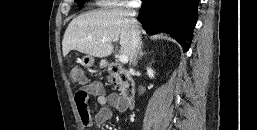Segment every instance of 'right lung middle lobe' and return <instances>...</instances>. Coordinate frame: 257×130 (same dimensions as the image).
<instances>
[{
	"instance_id": "right-lung-middle-lobe-1",
	"label": "right lung middle lobe",
	"mask_w": 257,
	"mask_h": 130,
	"mask_svg": "<svg viewBox=\"0 0 257 130\" xmlns=\"http://www.w3.org/2000/svg\"><path fill=\"white\" fill-rule=\"evenodd\" d=\"M86 0H77V3L79 6H82L85 3Z\"/></svg>"
}]
</instances>
